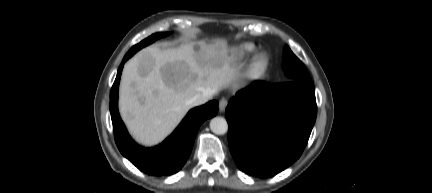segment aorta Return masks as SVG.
I'll return each instance as SVG.
<instances>
[{"instance_id": "1", "label": "aorta", "mask_w": 432, "mask_h": 193, "mask_svg": "<svg viewBox=\"0 0 432 193\" xmlns=\"http://www.w3.org/2000/svg\"><path fill=\"white\" fill-rule=\"evenodd\" d=\"M210 129L217 135H223L228 130V123L223 117H214L210 121Z\"/></svg>"}]
</instances>
